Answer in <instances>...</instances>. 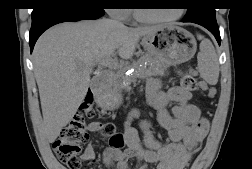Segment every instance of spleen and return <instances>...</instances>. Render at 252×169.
I'll use <instances>...</instances> for the list:
<instances>
[{
  "mask_svg": "<svg viewBox=\"0 0 252 169\" xmlns=\"http://www.w3.org/2000/svg\"><path fill=\"white\" fill-rule=\"evenodd\" d=\"M197 37L201 40L197 55L200 77L209 85H216L219 78V63L215 48L211 41L202 35Z\"/></svg>",
  "mask_w": 252,
  "mask_h": 169,
  "instance_id": "3e777b00",
  "label": "spleen"
}]
</instances>
